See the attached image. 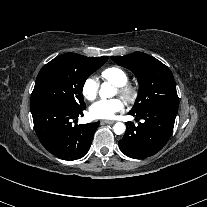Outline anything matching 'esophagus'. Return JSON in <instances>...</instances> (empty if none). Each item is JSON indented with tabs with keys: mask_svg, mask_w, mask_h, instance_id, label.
Here are the masks:
<instances>
[{
	"mask_svg": "<svg viewBox=\"0 0 207 207\" xmlns=\"http://www.w3.org/2000/svg\"><path fill=\"white\" fill-rule=\"evenodd\" d=\"M101 123H105V124L111 125V124H114L115 121H113V120H103V121H101Z\"/></svg>",
	"mask_w": 207,
	"mask_h": 207,
	"instance_id": "obj_1",
	"label": "esophagus"
}]
</instances>
